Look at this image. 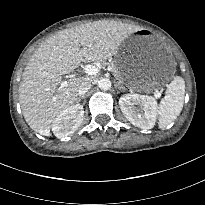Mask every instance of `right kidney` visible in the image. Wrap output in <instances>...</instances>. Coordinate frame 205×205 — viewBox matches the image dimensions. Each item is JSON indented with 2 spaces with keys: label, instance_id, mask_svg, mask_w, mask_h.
Masks as SVG:
<instances>
[{
  "label": "right kidney",
  "instance_id": "1",
  "mask_svg": "<svg viewBox=\"0 0 205 205\" xmlns=\"http://www.w3.org/2000/svg\"><path fill=\"white\" fill-rule=\"evenodd\" d=\"M84 119L83 106L75 104L62 110L52 124V131L57 138L72 135Z\"/></svg>",
  "mask_w": 205,
  "mask_h": 205
}]
</instances>
